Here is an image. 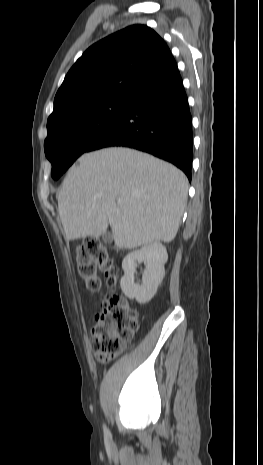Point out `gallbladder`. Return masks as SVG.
I'll return each mask as SVG.
<instances>
[{
	"instance_id": "bac80fb5",
	"label": "gallbladder",
	"mask_w": 263,
	"mask_h": 465,
	"mask_svg": "<svg viewBox=\"0 0 263 465\" xmlns=\"http://www.w3.org/2000/svg\"><path fill=\"white\" fill-rule=\"evenodd\" d=\"M102 239L106 243H111L113 240V236L110 232H105L104 234H102Z\"/></svg>"
}]
</instances>
